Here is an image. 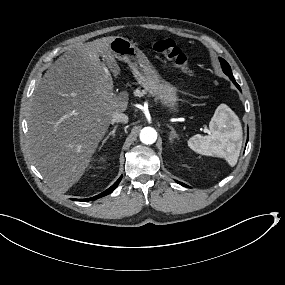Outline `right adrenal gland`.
Wrapping results in <instances>:
<instances>
[{
  "label": "right adrenal gland",
  "mask_w": 285,
  "mask_h": 285,
  "mask_svg": "<svg viewBox=\"0 0 285 285\" xmlns=\"http://www.w3.org/2000/svg\"><path fill=\"white\" fill-rule=\"evenodd\" d=\"M117 130V125L113 128V130L108 134V136L104 139L101 145V149L106 145L107 141L111 138L113 142H115V132Z\"/></svg>",
  "instance_id": "1"
}]
</instances>
